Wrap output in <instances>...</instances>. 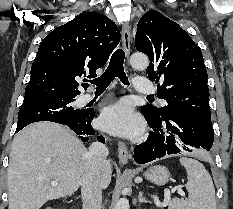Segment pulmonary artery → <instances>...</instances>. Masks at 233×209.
I'll return each instance as SVG.
<instances>
[{
    "instance_id": "pulmonary-artery-1",
    "label": "pulmonary artery",
    "mask_w": 233,
    "mask_h": 209,
    "mask_svg": "<svg viewBox=\"0 0 233 209\" xmlns=\"http://www.w3.org/2000/svg\"><path fill=\"white\" fill-rule=\"evenodd\" d=\"M134 89L143 94H151L154 92L153 83L145 77H135L134 78ZM95 96L91 93H86L81 97L82 103H88L93 100ZM164 103V100H161Z\"/></svg>"
}]
</instances>
